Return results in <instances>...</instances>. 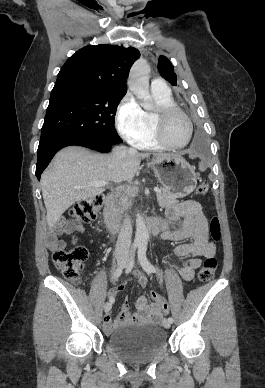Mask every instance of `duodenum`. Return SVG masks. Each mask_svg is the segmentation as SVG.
Instances as JSON below:
<instances>
[{
    "label": "duodenum",
    "mask_w": 265,
    "mask_h": 388,
    "mask_svg": "<svg viewBox=\"0 0 265 388\" xmlns=\"http://www.w3.org/2000/svg\"><path fill=\"white\" fill-rule=\"evenodd\" d=\"M116 195L110 193L105 196L103 215L108 229L117 232L121 227V218L116 209ZM147 226L151 234L157 235L163 231L164 223L161 218L151 217L147 220Z\"/></svg>",
    "instance_id": "duodenum-1"
}]
</instances>
